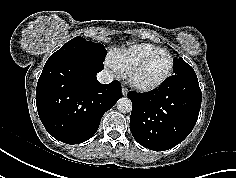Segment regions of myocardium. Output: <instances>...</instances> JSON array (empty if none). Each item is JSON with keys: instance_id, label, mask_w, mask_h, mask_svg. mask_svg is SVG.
<instances>
[{"instance_id": "myocardium-1", "label": "myocardium", "mask_w": 236, "mask_h": 178, "mask_svg": "<svg viewBox=\"0 0 236 178\" xmlns=\"http://www.w3.org/2000/svg\"><path fill=\"white\" fill-rule=\"evenodd\" d=\"M158 55H167L170 59V65L169 68L167 70V72L157 81L155 82H143L141 80H139L136 76L138 70L142 67V65L147 62L148 60L158 56ZM174 69V58L171 55V53H169L168 51L162 50V51H158V52H154L149 54L146 57H143L142 59L138 60L137 62H135L125 73V77L127 82L135 89L139 90V91H151L154 89H157L158 87H160L161 85H163L172 75Z\"/></svg>"}]
</instances>
